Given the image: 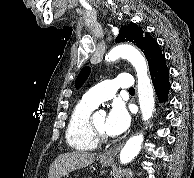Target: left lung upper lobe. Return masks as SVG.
<instances>
[{"instance_id": "obj_1", "label": "left lung upper lobe", "mask_w": 194, "mask_h": 178, "mask_svg": "<svg viewBox=\"0 0 194 178\" xmlns=\"http://www.w3.org/2000/svg\"><path fill=\"white\" fill-rule=\"evenodd\" d=\"M125 41L134 43L143 51L149 63V70H151L157 61L164 56L156 40L153 39L149 33H145L141 27H138L135 24H129L121 27L119 35L116 38V42ZM89 73V67H84L81 70L76 79V88H80L83 85Z\"/></svg>"}]
</instances>
